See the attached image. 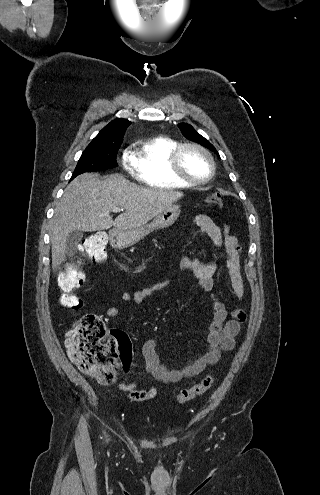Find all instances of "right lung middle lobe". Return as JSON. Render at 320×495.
I'll list each match as a JSON object with an SVG mask.
<instances>
[{"label":"right lung middle lobe","instance_id":"obj_1","mask_svg":"<svg viewBox=\"0 0 320 495\" xmlns=\"http://www.w3.org/2000/svg\"><path fill=\"white\" fill-rule=\"evenodd\" d=\"M120 145L88 146L82 153L72 178L85 173L117 167L116 155Z\"/></svg>","mask_w":320,"mask_h":495}]
</instances>
